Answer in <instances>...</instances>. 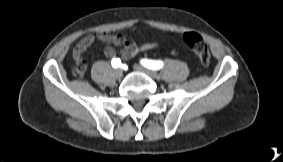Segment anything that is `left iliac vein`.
<instances>
[{
	"mask_svg": "<svg viewBox=\"0 0 283 162\" xmlns=\"http://www.w3.org/2000/svg\"><path fill=\"white\" fill-rule=\"evenodd\" d=\"M134 69L139 71V72H142L144 74H146L147 76H149L150 78H153V79H158L159 78V75L156 71L154 70H150V69H147L143 66H140V65H134Z\"/></svg>",
	"mask_w": 283,
	"mask_h": 162,
	"instance_id": "obj_1",
	"label": "left iliac vein"
}]
</instances>
